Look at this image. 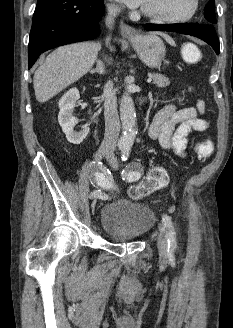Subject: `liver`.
<instances>
[{"label":"liver","mask_w":233,"mask_h":328,"mask_svg":"<svg viewBox=\"0 0 233 328\" xmlns=\"http://www.w3.org/2000/svg\"><path fill=\"white\" fill-rule=\"evenodd\" d=\"M101 44L83 42L57 48L34 73L38 102L44 103L84 76L97 59Z\"/></svg>","instance_id":"1"}]
</instances>
